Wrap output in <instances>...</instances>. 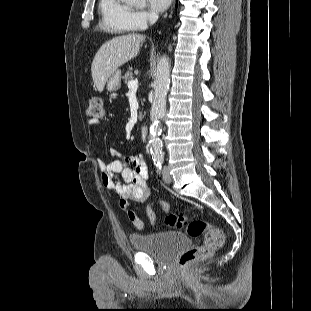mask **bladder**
I'll return each instance as SVG.
<instances>
[{
  "label": "bladder",
  "mask_w": 311,
  "mask_h": 311,
  "mask_svg": "<svg viewBox=\"0 0 311 311\" xmlns=\"http://www.w3.org/2000/svg\"><path fill=\"white\" fill-rule=\"evenodd\" d=\"M130 243L135 251L152 254L161 262L172 261L190 246L188 236L179 231L134 233Z\"/></svg>",
  "instance_id": "bladder-1"
}]
</instances>
